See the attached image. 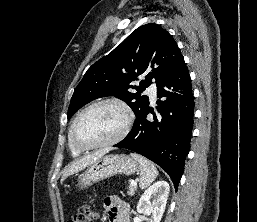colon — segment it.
<instances>
[{
    "label": "colon",
    "mask_w": 257,
    "mask_h": 222,
    "mask_svg": "<svg viewBox=\"0 0 257 222\" xmlns=\"http://www.w3.org/2000/svg\"><path fill=\"white\" fill-rule=\"evenodd\" d=\"M97 217V213L91 207L75 214L68 222H94Z\"/></svg>",
    "instance_id": "colon-1"
}]
</instances>
